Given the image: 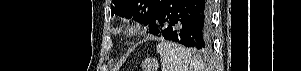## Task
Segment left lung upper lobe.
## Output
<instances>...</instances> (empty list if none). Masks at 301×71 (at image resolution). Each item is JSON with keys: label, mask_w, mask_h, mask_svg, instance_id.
<instances>
[{"label": "left lung upper lobe", "mask_w": 301, "mask_h": 71, "mask_svg": "<svg viewBox=\"0 0 301 71\" xmlns=\"http://www.w3.org/2000/svg\"><path fill=\"white\" fill-rule=\"evenodd\" d=\"M162 0H112L111 15L139 19L146 24Z\"/></svg>", "instance_id": "obj_1"}]
</instances>
